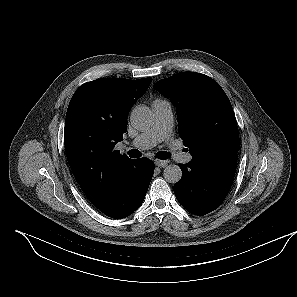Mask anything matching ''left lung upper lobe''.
Segmentation results:
<instances>
[{"label": "left lung upper lobe", "mask_w": 297, "mask_h": 297, "mask_svg": "<svg viewBox=\"0 0 297 297\" xmlns=\"http://www.w3.org/2000/svg\"><path fill=\"white\" fill-rule=\"evenodd\" d=\"M154 88L176 107L179 135L196 166L216 164L237 153L239 133L231 103L212 78L181 72L159 80Z\"/></svg>", "instance_id": "obj_1"}]
</instances>
